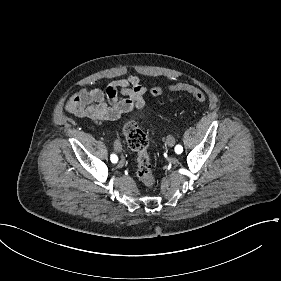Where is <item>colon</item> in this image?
<instances>
[{
  "label": "colon",
  "instance_id": "1",
  "mask_svg": "<svg viewBox=\"0 0 281 281\" xmlns=\"http://www.w3.org/2000/svg\"><path fill=\"white\" fill-rule=\"evenodd\" d=\"M180 88L186 92H189L191 96L198 102H205L207 99L206 94L203 91L197 90L195 86H187L185 83H182ZM161 93L162 90L158 87L151 89V94L153 95H159ZM124 134L131 148L136 153V175L144 184V186L151 190L154 186V174L152 171L150 154L148 150V138L146 134L140 130L136 122L130 121L124 125Z\"/></svg>",
  "mask_w": 281,
  "mask_h": 281
}]
</instances>
